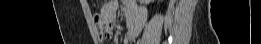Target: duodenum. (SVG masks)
Listing matches in <instances>:
<instances>
[{"instance_id":"obj_1","label":"duodenum","mask_w":261,"mask_h":44,"mask_svg":"<svg viewBox=\"0 0 261 44\" xmlns=\"http://www.w3.org/2000/svg\"><path fill=\"white\" fill-rule=\"evenodd\" d=\"M127 24H128V26L131 25V21L129 19L127 20Z\"/></svg>"}]
</instances>
